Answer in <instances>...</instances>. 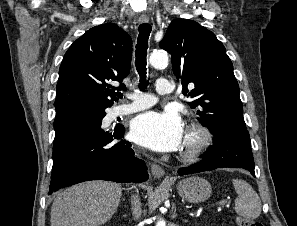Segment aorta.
I'll return each instance as SVG.
<instances>
[{"instance_id":"762f6f07","label":"aorta","mask_w":297,"mask_h":226,"mask_svg":"<svg viewBox=\"0 0 297 226\" xmlns=\"http://www.w3.org/2000/svg\"><path fill=\"white\" fill-rule=\"evenodd\" d=\"M149 63L154 68L164 67L168 64V55L164 51H155L151 53ZM156 226H166V223L163 219H159Z\"/></svg>"}]
</instances>
